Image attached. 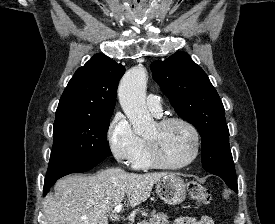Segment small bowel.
Masks as SVG:
<instances>
[{"label":"small bowel","instance_id":"obj_1","mask_svg":"<svg viewBox=\"0 0 275 224\" xmlns=\"http://www.w3.org/2000/svg\"><path fill=\"white\" fill-rule=\"evenodd\" d=\"M172 224H214L211 217L203 215L200 217L186 216L179 217Z\"/></svg>","mask_w":275,"mask_h":224}]
</instances>
